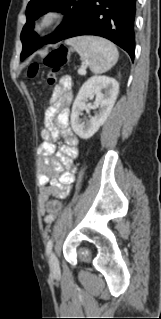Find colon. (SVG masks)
<instances>
[{
  "label": "colon",
  "mask_w": 161,
  "mask_h": 319,
  "mask_svg": "<svg viewBox=\"0 0 161 319\" xmlns=\"http://www.w3.org/2000/svg\"><path fill=\"white\" fill-rule=\"evenodd\" d=\"M69 58V51L66 47H59L52 50L44 59L43 63L51 69L47 78L46 85L52 88L56 85V74L67 63ZM39 63H32L28 68V77L33 78L39 73ZM47 209L52 214H58L61 211V203L58 201H51L47 204Z\"/></svg>",
  "instance_id": "5ec220e1"
}]
</instances>
